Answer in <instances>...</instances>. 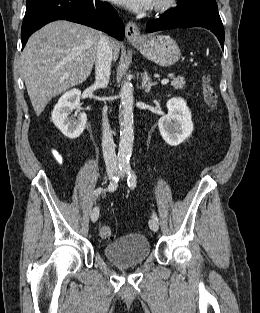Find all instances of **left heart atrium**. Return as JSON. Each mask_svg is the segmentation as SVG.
Returning <instances> with one entry per match:
<instances>
[{"instance_id": "39dd6f15", "label": "left heart atrium", "mask_w": 260, "mask_h": 313, "mask_svg": "<svg viewBox=\"0 0 260 313\" xmlns=\"http://www.w3.org/2000/svg\"><path fill=\"white\" fill-rule=\"evenodd\" d=\"M134 12L144 11L151 8L156 0H111Z\"/></svg>"}]
</instances>
